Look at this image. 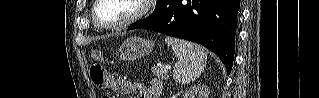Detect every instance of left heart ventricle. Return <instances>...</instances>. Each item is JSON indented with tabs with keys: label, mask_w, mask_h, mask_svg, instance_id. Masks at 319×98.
<instances>
[{
	"label": "left heart ventricle",
	"mask_w": 319,
	"mask_h": 98,
	"mask_svg": "<svg viewBox=\"0 0 319 98\" xmlns=\"http://www.w3.org/2000/svg\"><path fill=\"white\" fill-rule=\"evenodd\" d=\"M137 10L135 0H103L98 7V18L104 24L121 21Z\"/></svg>",
	"instance_id": "1"
}]
</instances>
